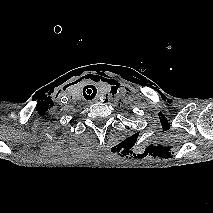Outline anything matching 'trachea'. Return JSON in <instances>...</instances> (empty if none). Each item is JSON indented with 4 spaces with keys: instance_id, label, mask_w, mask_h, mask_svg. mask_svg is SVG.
<instances>
[{
    "instance_id": "trachea-1",
    "label": "trachea",
    "mask_w": 213,
    "mask_h": 213,
    "mask_svg": "<svg viewBox=\"0 0 213 213\" xmlns=\"http://www.w3.org/2000/svg\"><path fill=\"white\" fill-rule=\"evenodd\" d=\"M88 88H91L92 90L88 89ZM96 93H97V90L93 86L85 87L83 90V95H84L85 99H87V100L93 99L95 97Z\"/></svg>"
}]
</instances>
